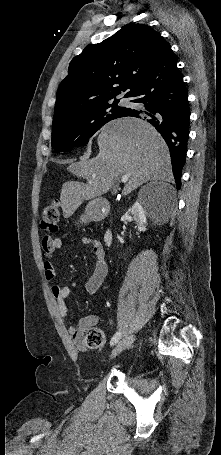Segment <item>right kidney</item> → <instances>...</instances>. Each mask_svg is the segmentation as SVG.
<instances>
[{
  "mask_svg": "<svg viewBox=\"0 0 221 455\" xmlns=\"http://www.w3.org/2000/svg\"><path fill=\"white\" fill-rule=\"evenodd\" d=\"M121 221H135L140 232L146 231V215L142 205L135 202L131 208L121 217ZM117 238L121 241L120 236Z\"/></svg>",
  "mask_w": 221,
  "mask_h": 455,
  "instance_id": "1",
  "label": "right kidney"
}]
</instances>
